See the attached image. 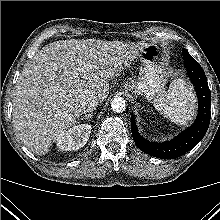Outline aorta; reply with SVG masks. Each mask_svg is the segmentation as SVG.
<instances>
[{
  "label": "aorta",
  "instance_id": "aorta-1",
  "mask_svg": "<svg viewBox=\"0 0 220 220\" xmlns=\"http://www.w3.org/2000/svg\"><path fill=\"white\" fill-rule=\"evenodd\" d=\"M110 104L111 109L117 113H121L126 109V101L122 97L112 99Z\"/></svg>",
  "mask_w": 220,
  "mask_h": 220
}]
</instances>
